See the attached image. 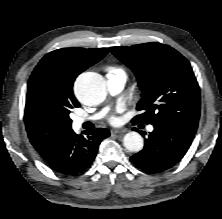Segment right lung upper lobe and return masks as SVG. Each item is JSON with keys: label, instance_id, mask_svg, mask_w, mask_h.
Returning a JSON list of instances; mask_svg holds the SVG:
<instances>
[{"label": "right lung upper lobe", "instance_id": "1", "mask_svg": "<svg viewBox=\"0 0 222 219\" xmlns=\"http://www.w3.org/2000/svg\"><path fill=\"white\" fill-rule=\"evenodd\" d=\"M107 52V49L93 48L58 49L45 55L32 72L28 82L24 120L30 142L45 161H51L72 134V121L52 117L38 109L33 89L35 77L41 71L48 72L50 94L58 99L77 101L72 90L74 80L81 72L100 61Z\"/></svg>", "mask_w": 222, "mask_h": 219}]
</instances>
